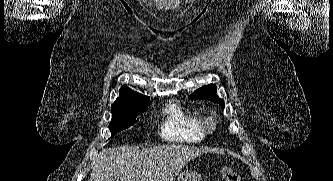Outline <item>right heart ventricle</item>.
I'll list each match as a JSON object with an SVG mask.
<instances>
[{"instance_id": "right-heart-ventricle-1", "label": "right heart ventricle", "mask_w": 333, "mask_h": 181, "mask_svg": "<svg viewBox=\"0 0 333 181\" xmlns=\"http://www.w3.org/2000/svg\"><path fill=\"white\" fill-rule=\"evenodd\" d=\"M164 117L160 134L165 140L195 143L204 139L202 119L198 113L171 103L165 108Z\"/></svg>"}]
</instances>
